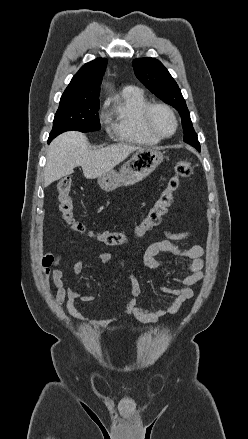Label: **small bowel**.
Wrapping results in <instances>:
<instances>
[{
  "mask_svg": "<svg viewBox=\"0 0 248 439\" xmlns=\"http://www.w3.org/2000/svg\"><path fill=\"white\" fill-rule=\"evenodd\" d=\"M161 227L164 237L147 246L143 254L144 265L150 270L157 269L164 263L158 258V255L160 253H167L182 260V267L187 271V274L172 278V280L179 285L178 287H159V290L163 294L173 297L174 301L166 309L151 311L138 305V299L141 296L142 290L141 284L136 275V270H133L130 284V298L126 303V309L122 317L126 318L133 316L138 323L142 324L154 323L164 316L176 314L180 308L193 297L194 291L191 287L196 285L203 278V269L205 265L204 249L198 245L186 249L180 248L177 245L178 242L189 240L192 237V231L183 230L180 232H174L170 230L165 223H162ZM98 257L103 268L108 267L112 261L111 255L107 252H99ZM62 258L63 256L61 254L47 253L43 255L41 259L46 286H53L56 288V304H65L67 311L72 317L85 321L96 328L104 329L115 323L117 321L116 319L90 320L78 310L76 306L78 301L92 303L96 298L92 295L65 286L64 278L66 273L59 268ZM118 263L122 266H126V261L124 259H119ZM82 270L83 262L81 259L77 258L68 274L78 275Z\"/></svg>",
  "mask_w": 248,
  "mask_h": 439,
  "instance_id": "small-bowel-1",
  "label": "small bowel"
}]
</instances>
